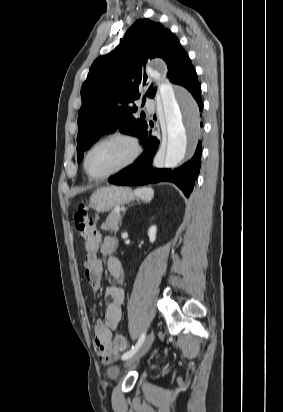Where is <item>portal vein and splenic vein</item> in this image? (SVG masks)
<instances>
[{"label":"portal vein and splenic vein","mask_w":283,"mask_h":412,"mask_svg":"<svg viewBox=\"0 0 283 412\" xmlns=\"http://www.w3.org/2000/svg\"><path fill=\"white\" fill-rule=\"evenodd\" d=\"M114 211L117 212V213H119V212H120V208H119V207H116V208L114 209Z\"/></svg>","instance_id":"portal-vein-and-splenic-vein-1"}]
</instances>
